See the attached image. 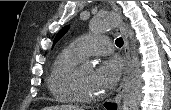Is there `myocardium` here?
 Segmentation results:
<instances>
[{"instance_id": "myocardium-1", "label": "myocardium", "mask_w": 171, "mask_h": 110, "mask_svg": "<svg viewBox=\"0 0 171 110\" xmlns=\"http://www.w3.org/2000/svg\"><path fill=\"white\" fill-rule=\"evenodd\" d=\"M80 70H81V66H76L71 71L68 77L69 87L71 91L74 93V95L77 97V99L81 102H86V103H93L103 99L104 98L103 94L89 95L85 92L80 82Z\"/></svg>"}]
</instances>
